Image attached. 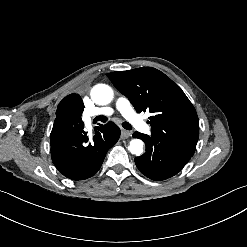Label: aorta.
Masks as SVG:
<instances>
[{
  "label": "aorta",
  "instance_id": "aorta-1",
  "mask_svg": "<svg viewBox=\"0 0 247 247\" xmlns=\"http://www.w3.org/2000/svg\"><path fill=\"white\" fill-rule=\"evenodd\" d=\"M91 98L98 105H107L113 99V90L106 84H98L91 90ZM143 141L140 139H132L129 144V151L140 156L143 153Z\"/></svg>",
  "mask_w": 247,
  "mask_h": 247
}]
</instances>
